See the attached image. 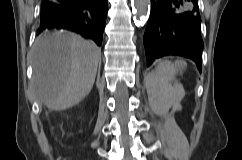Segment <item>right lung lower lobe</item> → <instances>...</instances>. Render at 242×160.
Segmentation results:
<instances>
[{
	"label": "right lung lower lobe",
	"instance_id": "1",
	"mask_svg": "<svg viewBox=\"0 0 242 160\" xmlns=\"http://www.w3.org/2000/svg\"><path fill=\"white\" fill-rule=\"evenodd\" d=\"M108 11L107 0H42L38 34L66 29L102 44Z\"/></svg>",
	"mask_w": 242,
	"mask_h": 160
}]
</instances>
